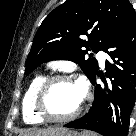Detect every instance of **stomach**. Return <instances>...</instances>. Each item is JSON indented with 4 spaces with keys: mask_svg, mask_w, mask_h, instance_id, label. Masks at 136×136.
I'll return each mask as SVG.
<instances>
[{
    "mask_svg": "<svg viewBox=\"0 0 136 136\" xmlns=\"http://www.w3.org/2000/svg\"><path fill=\"white\" fill-rule=\"evenodd\" d=\"M54 136H81V135L77 133L76 131L65 130V131L59 132L58 134Z\"/></svg>",
    "mask_w": 136,
    "mask_h": 136,
    "instance_id": "1",
    "label": "stomach"
}]
</instances>
